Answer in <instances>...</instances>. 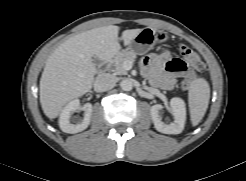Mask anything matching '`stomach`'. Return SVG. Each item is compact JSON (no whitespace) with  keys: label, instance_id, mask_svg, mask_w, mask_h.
<instances>
[{"label":"stomach","instance_id":"0dacf381","mask_svg":"<svg viewBox=\"0 0 246 181\" xmlns=\"http://www.w3.org/2000/svg\"><path fill=\"white\" fill-rule=\"evenodd\" d=\"M164 38L165 35L162 32H158L152 28H144L130 42L127 50L138 55H143L147 53L157 42L164 41Z\"/></svg>","mask_w":246,"mask_h":181}]
</instances>
